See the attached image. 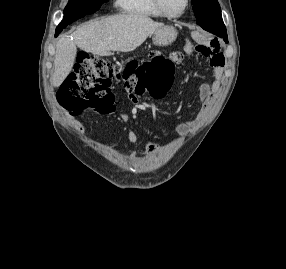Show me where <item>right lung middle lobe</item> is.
I'll return each instance as SVG.
<instances>
[{"mask_svg": "<svg viewBox=\"0 0 286 269\" xmlns=\"http://www.w3.org/2000/svg\"><path fill=\"white\" fill-rule=\"evenodd\" d=\"M106 2H108V0H69L64 9L63 20L57 26L56 31L61 32L73 21L82 18L85 15L94 13Z\"/></svg>", "mask_w": 286, "mask_h": 269, "instance_id": "dd1d6c3e", "label": "right lung middle lobe"}]
</instances>
